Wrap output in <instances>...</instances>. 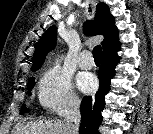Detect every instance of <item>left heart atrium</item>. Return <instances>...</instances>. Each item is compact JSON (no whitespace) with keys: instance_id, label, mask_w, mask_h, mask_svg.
<instances>
[{"instance_id":"left-heart-atrium-1","label":"left heart atrium","mask_w":153,"mask_h":134,"mask_svg":"<svg viewBox=\"0 0 153 134\" xmlns=\"http://www.w3.org/2000/svg\"><path fill=\"white\" fill-rule=\"evenodd\" d=\"M78 84L84 92H91L96 88L97 82L93 75L85 73L79 77Z\"/></svg>"}]
</instances>
